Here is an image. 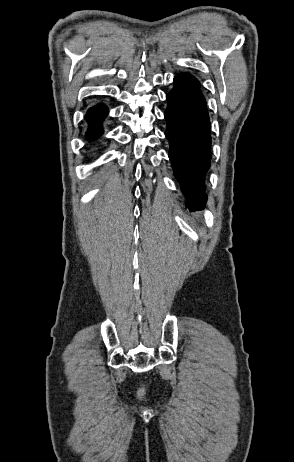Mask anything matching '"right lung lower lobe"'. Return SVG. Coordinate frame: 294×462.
<instances>
[{
    "label": "right lung lower lobe",
    "instance_id": "1",
    "mask_svg": "<svg viewBox=\"0 0 294 462\" xmlns=\"http://www.w3.org/2000/svg\"><path fill=\"white\" fill-rule=\"evenodd\" d=\"M108 114V109L103 104H98L87 111L86 120L89 123V129L86 133L88 140H94L102 134L100 122Z\"/></svg>",
    "mask_w": 294,
    "mask_h": 462
}]
</instances>
